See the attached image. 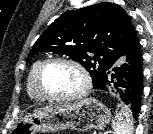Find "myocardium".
Here are the masks:
<instances>
[{
    "label": "myocardium",
    "instance_id": "1",
    "mask_svg": "<svg viewBox=\"0 0 153 134\" xmlns=\"http://www.w3.org/2000/svg\"><path fill=\"white\" fill-rule=\"evenodd\" d=\"M55 63L70 65L74 67L80 73L83 84H82V88L77 93L68 95V96H57V95L49 94L44 90L42 85V78H43L44 72L50 65ZM35 84H36L37 91L45 100L55 101V102H72V101H76V100H80L84 98L89 93L92 87V78L88 69L79 61L72 58H67V57H52L43 61L42 64L40 65L36 73Z\"/></svg>",
    "mask_w": 153,
    "mask_h": 134
}]
</instances>
